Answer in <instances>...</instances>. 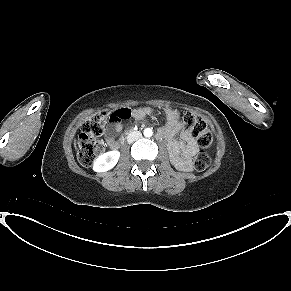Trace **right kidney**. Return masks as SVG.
Masks as SVG:
<instances>
[{
    "label": "right kidney",
    "instance_id": "ca27d5eb",
    "mask_svg": "<svg viewBox=\"0 0 291 291\" xmlns=\"http://www.w3.org/2000/svg\"><path fill=\"white\" fill-rule=\"evenodd\" d=\"M120 158L119 151H109L100 155L93 164V170L96 172H106L112 169Z\"/></svg>",
    "mask_w": 291,
    "mask_h": 291
}]
</instances>
